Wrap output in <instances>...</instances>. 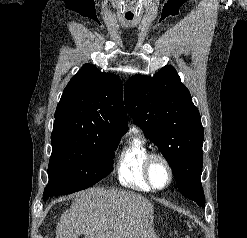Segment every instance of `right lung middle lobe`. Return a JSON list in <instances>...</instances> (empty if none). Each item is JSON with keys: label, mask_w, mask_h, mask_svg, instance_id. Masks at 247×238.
Here are the masks:
<instances>
[{"label": "right lung middle lobe", "mask_w": 247, "mask_h": 238, "mask_svg": "<svg viewBox=\"0 0 247 238\" xmlns=\"http://www.w3.org/2000/svg\"><path fill=\"white\" fill-rule=\"evenodd\" d=\"M119 141L85 134L51 137L49 183L43 199L88 188L107 176Z\"/></svg>", "instance_id": "obj_1"}]
</instances>
